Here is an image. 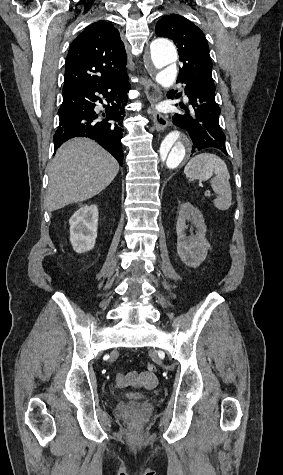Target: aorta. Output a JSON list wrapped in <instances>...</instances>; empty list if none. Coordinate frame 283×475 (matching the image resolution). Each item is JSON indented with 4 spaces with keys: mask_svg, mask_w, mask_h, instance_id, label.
<instances>
[{
    "mask_svg": "<svg viewBox=\"0 0 283 475\" xmlns=\"http://www.w3.org/2000/svg\"><path fill=\"white\" fill-rule=\"evenodd\" d=\"M177 60L174 44L167 39H156L150 45V62L158 70L156 81L169 88L176 79L177 70L173 66ZM192 142L189 136L179 130L171 131L162 140L156 161V172L164 175L177 169L190 156Z\"/></svg>",
    "mask_w": 283,
    "mask_h": 475,
    "instance_id": "1",
    "label": "aorta"
}]
</instances>
